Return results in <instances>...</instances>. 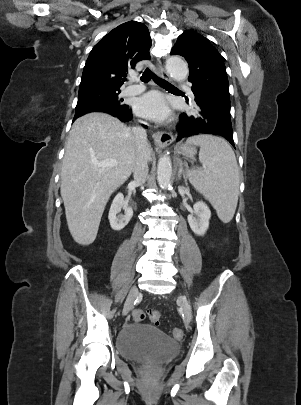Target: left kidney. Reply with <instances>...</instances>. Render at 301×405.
<instances>
[{"instance_id": "left-kidney-1", "label": "left kidney", "mask_w": 301, "mask_h": 405, "mask_svg": "<svg viewBox=\"0 0 301 405\" xmlns=\"http://www.w3.org/2000/svg\"><path fill=\"white\" fill-rule=\"evenodd\" d=\"M193 209V212L188 215V223L197 236H203L209 227L211 211L203 201L196 202Z\"/></svg>"}]
</instances>
